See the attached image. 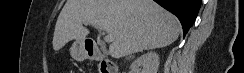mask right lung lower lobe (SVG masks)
Wrapping results in <instances>:
<instances>
[{
	"label": "right lung lower lobe",
	"mask_w": 244,
	"mask_h": 73,
	"mask_svg": "<svg viewBox=\"0 0 244 73\" xmlns=\"http://www.w3.org/2000/svg\"><path fill=\"white\" fill-rule=\"evenodd\" d=\"M159 5L173 13L180 20L184 35L194 23L201 0H154Z\"/></svg>",
	"instance_id": "right-lung-lower-lobe-1"
}]
</instances>
